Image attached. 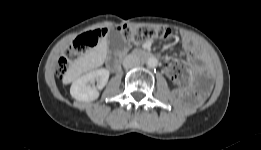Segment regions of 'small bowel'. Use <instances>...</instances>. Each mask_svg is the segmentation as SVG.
I'll return each instance as SVG.
<instances>
[{
    "instance_id": "1",
    "label": "small bowel",
    "mask_w": 261,
    "mask_h": 150,
    "mask_svg": "<svg viewBox=\"0 0 261 150\" xmlns=\"http://www.w3.org/2000/svg\"><path fill=\"white\" fill-rule=\"evenodd\" d=\"M182 44H183L184 49L187 52V57H188L189 62H194L195 58H196V54L194 51V47H193L191 38L188 37L187 35H183ZM149 45H150L149 43H146L147 47H149ZM164 70L166 72V66H165Z\"/></svg>"
}]
</instances>
